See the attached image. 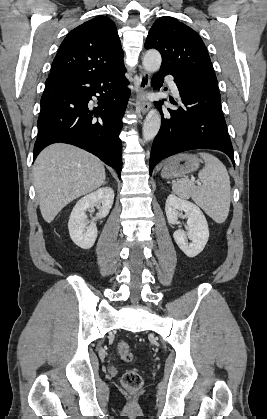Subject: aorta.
Instances as JSON below:
<instances>
[{"instance_id":"obj_1","label":"aorta","mask_w":267,"mask_h":419,"mask_svg":"<svg viewBox=\"0 0 267 419\" xmlns=\"http://www.w3.org/2000/svg\"><path fill=\"white\" fill-rule=\"evenodd\" d=\"M161 55L157 50H149L143 57V67L147 72L153 73L160 69ZM161 126V116L157 110H150L143 124L142 134L145 141L155 138Z\"/></svg>"}]
</instances>
